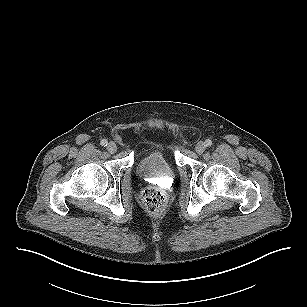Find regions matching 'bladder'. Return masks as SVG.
I'll use <instances>...</instances> for the list:
<instances>
[{
  "mask_svg": "<svg viewBox=\"0 0 307 307\" xmlns=\"http://www.w3.org/2000/svg\"><path fill=\"white\" fill-rule=\"evenodd\" d=\"M137 174L141 178H157L172 180L175 176L173 166L162 151L155 150L144 155L136 165Z\"/></svg>",
  "mask_w": 307,
  "mask_h": 307,
  "instance_id": "1",
  "label": "bladder"
}]
</instances>
